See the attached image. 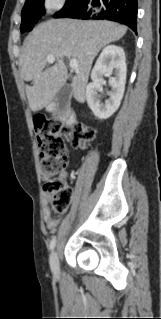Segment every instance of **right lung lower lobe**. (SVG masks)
I'll return each mask as SVG.
<instances>
[{"label": "right lung lower lobe", "instance_id": "obj_1", "mask_svg": "<svg viewBox=\"0 0 161 319\" xmlns=\"http://www.w3.org/2000/svg\"><path fill=\"white\" fill-rule=\"evenodd\" d=\"M91 6H101L100 12L91 16ZM62 17L112 20L129 26L136 33L137 0H80Z\"/></svg>", "mask_w": 161, "mask_h": 319}]
</instances>
